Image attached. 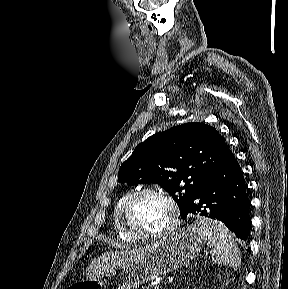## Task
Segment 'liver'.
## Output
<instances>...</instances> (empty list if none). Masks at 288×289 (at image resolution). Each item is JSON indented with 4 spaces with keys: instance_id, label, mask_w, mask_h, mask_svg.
Here are the masks:
<instances>
[{
    "instance_id": "liver-1",
    "label": "liver",
    "mask_w": 288,
    "mask_h": 289,
    "mask_svg": "<svg viewBox=\"0 0 288 289\" xmlns=\"http://www.w3.org/2000/svg\"><path fill=\"white\" fill-rule=\"evenodd\" d=\"M145 248H138L133 250H115L103 253L97 259L91 262L86 269V276L95 278L101 274L111 271L112 269L128 264L137 259Z\"/></svg>"
}]
</instances>
